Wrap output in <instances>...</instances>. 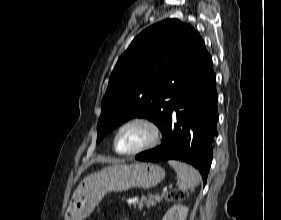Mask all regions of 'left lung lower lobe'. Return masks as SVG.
<instances>
[{
	"instance_id": "obj_1",
	"label": "left lung lower lobe",
	"mask_w": 281,
	"mask_h": 220,
	"mask_svg": "<svg viewBox=\"0 0 281 220\" xmlns=\"http://www.w3.org/2000/svg\"><path fill=\"white\" fill-rule=\"evenodd\" d=\"M173 99L174 106L161 129L163 143L135 158L151 162L176 159L189 163L199 170L205 184L218 121L216 75L208 52L180 82Z\"/></svg>"
}]
</instances>
